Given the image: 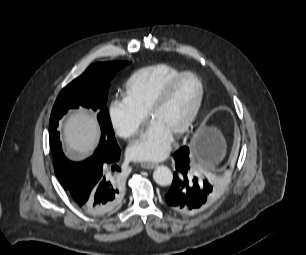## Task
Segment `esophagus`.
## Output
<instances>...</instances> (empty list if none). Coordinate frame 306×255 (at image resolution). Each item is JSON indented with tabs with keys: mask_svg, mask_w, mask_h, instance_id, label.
I'll use <instances>...</instances> for the list:
<instances>
[{
	"mask_svg": "<svg viewBox=\"0 0 306 255\" xmlns=\"http://www.w3.org/2000/svg\"><path fill=\"white\" fill-rule=\"evenodd\" d=\"M141 167L143 169H154L155 167H157V164L153 162H142Z\"/></svg>",
	"mask_w": 306,
	"mask_h": 255,
	"instance_id": "esophagus-1",
	"label": "esophagus"
}]
</instances>
